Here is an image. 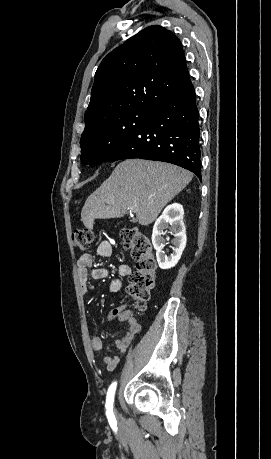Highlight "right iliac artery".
Here are the masks:
<instances>
[{
  "instance_id": "obj_1",
  "label": "right iliac artery",
  "mask_w": 271,
  "mask_h": 459,
  "mask_svg": "<svg viewBox=\"0 0 271 459\" xmlns=\"http://www.w3.org/2000/svg\"><path fill=\"white\" fill-rule=\"evenodd\" d=\"M116 385L117 383L114 382L111 384V386L109 387L108 389V392H107V397H106V415H107V418H108V421L110 424H114L116 422L115 420V416L113 414V402H114V394H115V390H116Z\"/></svg>"
}]
</instances>
